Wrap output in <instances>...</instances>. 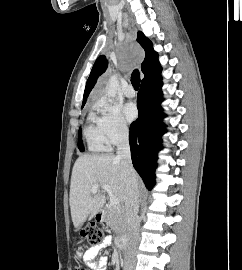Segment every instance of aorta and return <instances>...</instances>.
I'll list each match as a JSON object with an SVG mask.
<instances>
[{"label": "aorta", "instance_id": "1", "mask_svg": "<svg viewBox=\"0 0 242 270\" xmlns=\"http://www.w3.org/2000/svg\"><path fill=\"white\" fill-rule=\"evenodd\" d=\"M119 89V81L117 75H112L107 84L106 94L111 99H114L117 95V91Z\"/></svg>", "mask_w": 242, "mask_h": 270}]
</instances>
